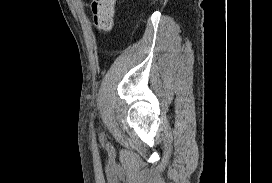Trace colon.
Returning <instances> with one entry per match:
<instances>
[{
  "label": "colon",
  "mask_w": 272,
  "mask_h": 183,
  "mask_svg": "<svg viewBox=\"0 0 272 183\" xmlns=\"http://www.w3.org/2000/svg\"><path fill=\"white\" fill-rule=\"evenodd\" d=\"M117 0H94L91 5L93 18L99 31H109L113 24Z\"/></svg>",
  "instance_id": "5ec220e1"
}]
</instances>
